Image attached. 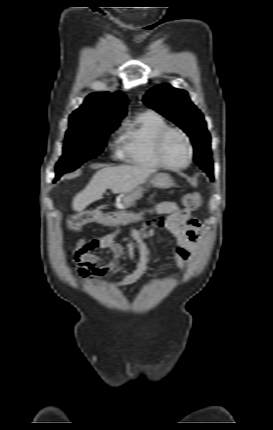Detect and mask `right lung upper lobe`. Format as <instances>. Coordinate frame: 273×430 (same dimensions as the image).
<instances>
[{
    "label": "right lung upper lobe",
    "instance_id": "obj_1",
    "mask_svg": "<svg viewBox=\"0 0 273 430\" xmlns=\"http://www.w3.org/2000/svg\"><path fill=\"white\" fill-rule=\"evenodd\" d=\"M127 104V98L122 93L95 92L71 116L84 120L120 122L126 115Z\"/></svg>",
    "mask_w": 273,
    "mask_h": 430
}]
</instances>
